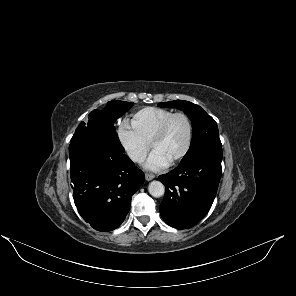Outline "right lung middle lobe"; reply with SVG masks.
<instances>
[{
    "label": "right lung middle lobe",
    "mask_w": 296,
    "mask_h": 296,
    "mask_svg": "<svg viewBox=\"0 0 296 296\" xmlns=\"http://www.w3.org/2000/svg\"><path fill=\"white\" fill-rule=\"evenodd\" d=\"M133 106L132 102L112 100L107 103L103 110H93L88 116V123L81 122L80 125H95L110 132H115L113 123Z\"/></svg>",
    "instance_id": "1"
}]
</instances>
